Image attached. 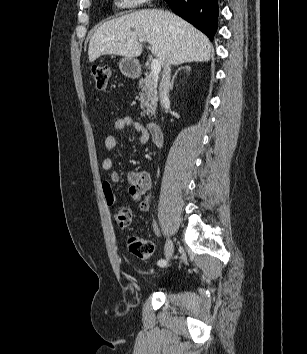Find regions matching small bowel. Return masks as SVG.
<instances>
[{
	"label": "small bowel",
	"mask_w": 307,
	"mask_h": 354,
	"mask_svg": "<svg viewBox=\"0 0 307 354\" xmlns=\"http://www.w3.org/2000/svg\"><path fill=\"white\" fill-rule=\"evenodd\" d=\"M132 128L138 134V140L140 143H146L149 139V133L146 127L133 119L130 116H124L118 118L114 124L112 131L105 137L104 146L108 153L115 150L117 146V135L125 128ZM102 168L110 171L113 169V159L110 155L106 156L102 161ZM119 175L117 172L111 174V180H106L102 183V191L105 201L108 205L115 203V195L113 192V183L117 182ZM126 180L130 184L129 195L139 204L142 210H147L150 203V196L144 197V195L150 190L152 185V178L148 171L145 170H131L126 173Z\"/></svg>",
	"instance_id": "small-bowel-1"
}]
</instances>
